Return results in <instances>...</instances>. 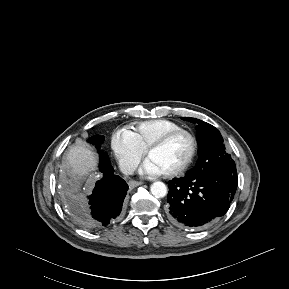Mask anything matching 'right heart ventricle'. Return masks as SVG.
Returning a JSON list of instances; mask_svg holds the SVG:
<instances>
[{
  "mask_svg": "<svg viewBox=\"0 0 289 289\" xmlns=\"http://www.w3.org/2000/svg\"><path fill=\"white\" fill-rule=\"evenodd\" d=\"M183 129L180 124L168 119H152L139 122L133 128V133L140 147L146 151L148 147L165 134Z\"/></svg>",
  "mask_w": 289,
  "mask_h": 289,
  "instance_id": "obj_1",
  "label": "right heart ventricle"
}]
</instances>
